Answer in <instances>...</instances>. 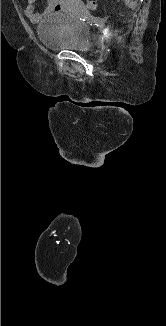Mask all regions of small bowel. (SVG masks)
Wrapping results in <instances>:
<instances>
[{
	"mask_svg": "<svg viewBox=\"0 0 166 326\" xmlns=\"http://www.w3.org/2000/svg\"><path fill=\"white\" fill-rule=\"evenodd\" d=\"M25 15L33 22L39 21L42 16L51 12L60 10H70L73 5V0H44L45 6L41 12L36 11L37 0H26Z\"/></svg>",
	"mask_w": 166,
	"mask_h": 326,
	"instance_id": "small-bowel-1",
	"label": "small bowel"
}]
</instances>
